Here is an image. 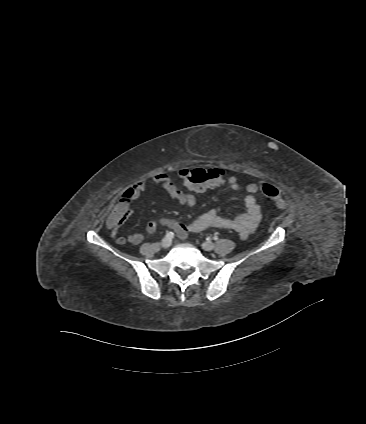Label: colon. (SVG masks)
I'll return each instance as SVG.
<instances>
[{
    "label": "colon",
    "instance_id": "1",
    "mask_svg": "<svg viewBox=\"0 0 366 424\" xmlns=\"http://www.w3.org/2000/svg\"><path fill=\"white\" fill-rule=\"evenodd\" d=\"M220 172L213 168L209 169H183L179 175L183 182L192 189H203L216 182ZM250 192H261L269 197L278 208L285 209L287 203L282 198L280 191L272 184L259 182L247 187ZM131 193L126 192L122 201L115 207V211L121 218H127L131 214L129 199Z\"/></svg>",
    "mask_w": 366,
    "mask_h": 424
}]
</instances>
